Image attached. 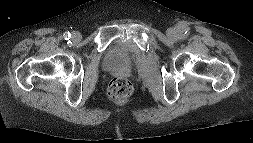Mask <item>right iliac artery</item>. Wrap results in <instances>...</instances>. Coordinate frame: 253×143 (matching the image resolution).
<instances>
[{
    "label": "right iliac artery",
    "mask_w": 253,
    "mask_h": 143,
    "mask_svg": "<svg viewBox=\"0 0 253 143\" xmlns=\"http://www.w3.org/2000/svg\"><path fill=\"white\" fill-rule=\"evenodd\" d=\"M64 36H65V39L67 40V39H69V37L71 36V34L68 32V33H65Z\"/></svg>",
    "instance_id": "82829eb1"
}]
</instances>
